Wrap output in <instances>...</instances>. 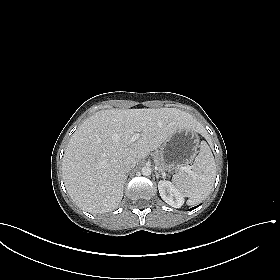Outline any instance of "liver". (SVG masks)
<instances>
[{
    "label": "liver",
    "mask_w": 280,
    "mask_h": 280,
    "mask_svg": "<svg viewBox=\"0 0 280 280\" xmlns=\"http://www.w3.org/2000/svg\"><path fill=\"white\" fill-rule=\"evenodd\" d=\"M201 131L192 115L176 108L109 109L86 119L66 147L62 173L67 192L90 213L114 210L127 179L123 160L141 161L182 128ZM135 142H130L134 134Z\"/></svg>",
    "instance_id": "1"
}]
</instances>
